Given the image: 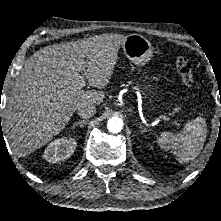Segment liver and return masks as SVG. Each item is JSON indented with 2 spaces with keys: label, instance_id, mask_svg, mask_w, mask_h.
<instances>
[{
  "label": "liver",
  "instance_id": "1",
  "mask_svg": "<svg viewBox=\"0 0 221 221\" xmlns=\"http://www.w3.org/2000/svg\"><path fill=\"white\" fill-rule=\"evenodd\" d=\"M125 39L121 34H102L53 44L26 61L9 97L3 125L16 156H28L51 141L82 105L101 104L104 92L81 89L80 73H86L90 86L105 88Z\"/></svg>",
  "mask_w": 221,
  "mask_h": 221
}]
</instances>
